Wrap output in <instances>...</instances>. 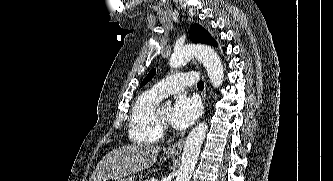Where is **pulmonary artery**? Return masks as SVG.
<instances>
[{
  "label": "pulmonary artery",
  "instance_id": "obj_1",
  "mask_svg": "<svg viewBox=\"0 0 333 181\" xmlns=\"http://www.w3.org/2000/svg\"><path fill=\"white\" fill-rule=\"evenodd\" d=\"M197 81L198 75L195 72L175 74L154 84L151 91L164 98L169 94L180 93L184 88L195 85Z\"/></svg>",
  "mask_w": 333,
  "mask_h": 181
}]
</instances>
